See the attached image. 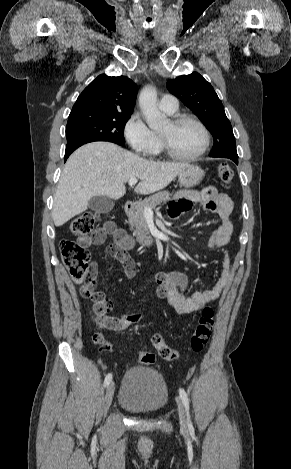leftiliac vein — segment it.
I'll use <instances>...</instances> for the list:
<instances>
[{
	"label": "left iliac vein",
	"mask_w": 291,
	"mask_h": 469,
	"mask_svg": "<svg viewBox=\"0 0 291 469\" xmlns=\"http://www.w3.org/2000/svg\"><path fill=\"white\" fill-rule=\"evenodd\" d=\"M178 404V415L179 421L182 428H186V417H185V410L180 398H176Z\"/></svg>",
	"instance_id": "4c4485c4"
}]
</instances>
